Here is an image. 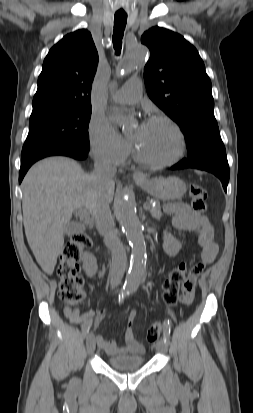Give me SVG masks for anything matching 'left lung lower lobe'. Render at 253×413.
I'll list each match as a JSON object with an SVG mask.
<instances>
[{
    "label": "left lung lower lobe",
    "instance_id": "obj_1",
    "mask_svg": "<svg viewBox=\"0 0 253 413\" xmlns=\"http://www.w3.org/2000/svg\"><path fill=\"white\" fill-rule=\"evenodd\" d=\"M185 168H195L213 173L221 180L224 190H227L230 172L226 153L212 155L201 161L183 159L171 167L173 170Z\"/></svg>",
    "mask_w": 253,
    "mask_h": 413
}]
</instances>
